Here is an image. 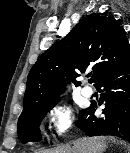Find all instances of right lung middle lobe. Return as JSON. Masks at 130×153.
Listing matches in <instances>:
<instances>
[{
  "label": "right lung middle lobe",
  "instance_id": "obj_1",
  "mask_svg": "<svg viewBox=\"0 0 130 153\" xmlns=\"http://www.w3.org/2000/svg\"><path fill=\"white\" fill-rule=\"evenodd\" d=\"M57 102L58 100H55L50 103L36 106L19 117L18 136L23 143L28 141H39L41 139L39 131L40 122L46 116L47 112L57 104Z\"/></svg>",
  "mask_w": 130,
  "mask_h": 153
}]
</instances>
